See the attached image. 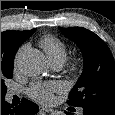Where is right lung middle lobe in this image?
<instances>
[{
  "instance_id": "right-lung-middle-lobe-1",
  "label": "right lung middle lobe",
  "mask_w": 115,
  "mask_h": 115,
  "mask_svg": "<svg viewBox=\"0 0 115 115\" xmlns=\"http://www.w3.org/2000/svg\"><path fill=\"white\" fill-rule=\"evenodd\" d=\"M13 65H1V99L5 97L7 87L5 80L12 77Z\"/></svg>"
}]
</instances>
